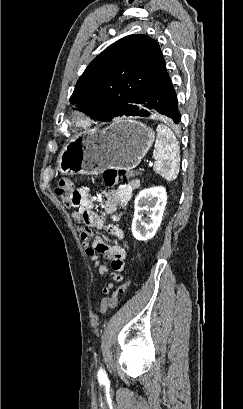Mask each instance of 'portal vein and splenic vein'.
<instances>
[{
	"label": "portal vein and splenic vein",
	"instance_id": "1",
	"mask_svg": "<svg viewBox=\"0 0 243 409\" xmlns=\"http://www.w3.org/2000/svg\"><path fill=\"white\" fill-rule=\"evenodd\" d=\"M152 165H153V163L150 162V163H149V167H151Z\"/></svg>",
	"mask_w": 243,
	"mask_h": 409
}]
</instances>
